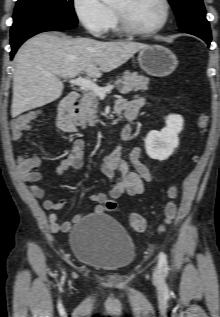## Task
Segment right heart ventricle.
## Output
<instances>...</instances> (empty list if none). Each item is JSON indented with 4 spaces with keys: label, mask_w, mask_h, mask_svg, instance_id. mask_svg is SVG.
Wrapping results in <instances>:
<instances>
[{
    "label": "right heart ventricle",
    "mask_w": 220,
    "mask_h": 317,
    "mask_svg": "<svg viewBox=\"0 0 220 317\" xmlns=\"http://www.w3.org/2000/svg\"><path fill=\"white\" fill-rule=\"evenodd\" d=\"M109 28L111 30H113L114 32H118L117 24H116V21H115V19L113 17V14H112V19H111V23H110Z\"/></svg>",
    "instance_id": "obj_1"
}]
</instances>
